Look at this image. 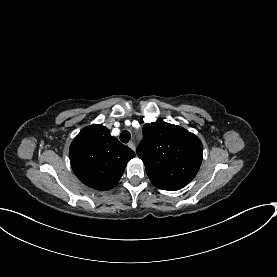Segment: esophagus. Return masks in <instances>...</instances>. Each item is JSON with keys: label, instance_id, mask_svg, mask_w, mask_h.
I'll return each mask as SVG.
<instances>
[{"label": "esophagus", "instance_id": "1", "mask_svg": "<svg viewBox=\"0 0 277 277\" xmlns=\"http://www.w3.org/2000/svg\"><path fill=\"white\" fill-rule=\"evenodd\" d=\"M128 146H129L133 151L136 150V147H135V144H134L133 141H130V142L128 143Z\"/></svg>", "mask_w": 277, "mask_h": 277}]
</instances>
